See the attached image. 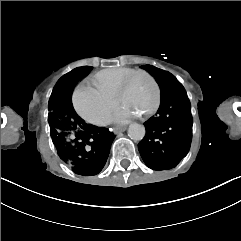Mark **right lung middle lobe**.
<instances>
[{
  "mask_svg": "<svg viewBox=\"0 0 241 241\" xmlns=\"http://www.w3.org/2000/svg\"><path fill=\"white\" fill-rule=\"evenodd\" d=\"M92 67H90V70ZM71 72L62 76L56 83L48 103L49 116L48 121L51 130V136L54 144H59L65 139L71 141L72 136L67 133L63 123V108H73L71 95L72 92L66 87L67 77Z\"/></svg>",
  "mask_w": 241,
  "mask_h": 241,
  "instance_id": "1",
  "label": "right lung middle lobe"
}]
</instances>
